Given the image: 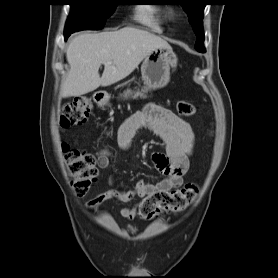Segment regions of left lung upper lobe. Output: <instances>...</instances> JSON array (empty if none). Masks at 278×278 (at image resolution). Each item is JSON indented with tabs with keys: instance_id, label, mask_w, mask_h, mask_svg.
<instances>
[{
	"instance_id": "5c2ea615",
	"label": "left lung upper lobe",
	"mask_w": 278,
	"mask_h": 278,
	"mask_svg": "<svg viewBox=\"0 0 278 278\" xmlns=\"http://www.w3.org/2000/svg\"><path fill=\"white\" fill-rule=\"evenodd\" d=\"M180 5L183 7L188 15L189 22L197 36L195 49L198 52H205L203 46L204 33H203V12L205 8L204 0H179Z\"/></svg>"
}]
</instances>
